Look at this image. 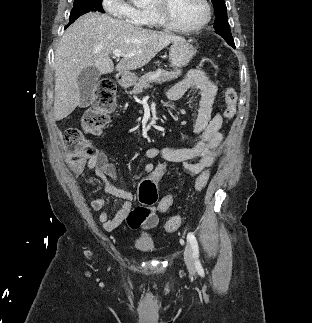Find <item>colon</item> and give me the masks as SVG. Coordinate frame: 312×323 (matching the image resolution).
<instances>
[{"instance_id":"colon-1","label":"colon","mask_w":312,"mask_h":323,"mask_svg":"<svg viewBox=\"0 0 312 323\" xmlns=\"http://www.w3.org/2000/svg\"><path fill=\"white\" fill-rule=\"evenodd\" d=\"M116 85L115 82L109 77L99 79L94 96L93 104L88 109L82 118L80 126L68 127L63 135L67 151L66 168H71L74 172H81L83 165L87 160L94 156L95 150L91 143L88 141L87 136L90 134H98L101 129L108 123L109 114L115 109L116 106ZM225 115L231 119L236 110L237 105V92L232 86H227L225 89ZM166 165V162H163ZM164 166L155 168L151 172L150 177H140V186L137 188L136 193L139 195L141 203L146 206L153 207L157 202V187L156 183L161 175L164 173ZM209 178L208 172H203L196 181L197 189H201L207 183ZM159 213H170L173 208V203L170 197H162L161 202L158 204ZM153 211L141 209L138 214L141 218L146 219L151 216ZM181 217L177 216L170 219L165 225L164 230L166 233H175L181 225Z\"/></svg>"}]
</instances>
